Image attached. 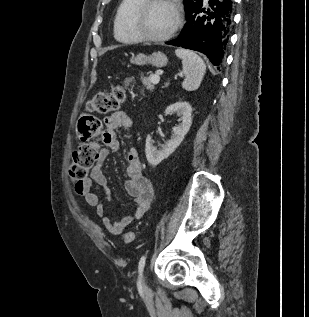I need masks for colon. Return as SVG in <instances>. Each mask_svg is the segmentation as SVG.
Masks as SVG:
<instances>
[{"mask_svg":"<svg viewBox=\"0 0 309 317\" xmlns=\"http://www.w3.org/2000/svg\"><path fill=\"white\" fill-rule=\"evenodd\" d=\"M125 99L123 85L115 86L110 92L94 95L88 102L90 113L83 114L78 121V134L83 141L72 154L69 168L70 179L76 184L85 179L99 156L98 137L102 134V122L92 113L105 114L117 110ZM127 243H132L134 234L127 232L124 236Z\"/></svg>","mask_w":309,"mask_h":317,"instance_id":"colon-1","label":"colon"}]
</instances>
